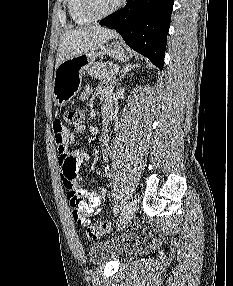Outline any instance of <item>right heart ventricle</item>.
Returning <instances> with one entry per match:
<instances>
[{"mask_svg":"<svg viewBox=\"0 0 233 286\" xmlns=\"http://www.w3.org/2000/svg\"><path fill=\"white\" fill-rule=\"evenodd\" d=\"M67 8L70 17L75 24L84 26L93 22L92 19L83 13L80 0H67Z\"/></svg>","mask_w":233,"mask_h":286,"instance_id":"obj_1","label":"right heart ventricle"}]
</instances>
